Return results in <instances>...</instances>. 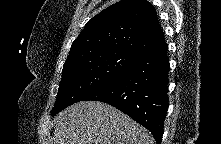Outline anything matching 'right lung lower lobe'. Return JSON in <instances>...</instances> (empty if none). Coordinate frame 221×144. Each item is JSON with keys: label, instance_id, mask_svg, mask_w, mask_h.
<instances>
[{"label": "right lung lower lobe", "instance_id": "98d812e1", "mask_svg": "<svg viewBox=\"0 0 221 144\" xmlns=\"http://www.w3.org/2000/svg\"><path fill=\"white\" fill-rule=\"evenodd\" d=\"M168 69L167 44L163 42L82 101L116 107L148 129L160 144L168 108Z\"/></svg>", "mask_w": 221, "mask_h": 144}]
</instances>
